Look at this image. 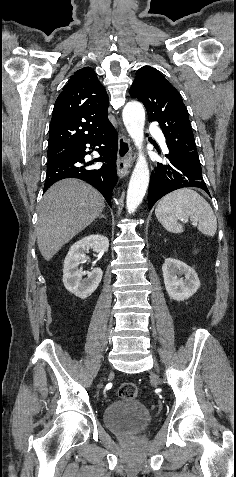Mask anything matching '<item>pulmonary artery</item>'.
Returning a JSON list of instances; mask_svg holds the SVG:
<instances>
[{"label": "pulmonary artery", "mask_w": 236, "mask_h": 477, "mask_svg": "<svg viewBox=\"0 0 236 477\" xmlns=\"http://www.w3.org/2000/svg\"><path fill=\"white\" fill-rule=\"evenodd\" d=\"M150 131H151L152 133H154L155 136L157 137V139H158L160 142H162V144L165 146V139H164V137H163L161 134H159V133L156 131L155 128H151Z\"/></svg>", "instance_id": "pulmonary-artery-1"}]
</instances>
